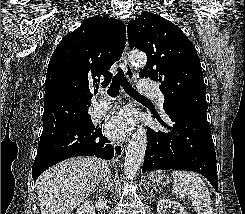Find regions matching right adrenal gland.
Segmentation results:
<instances>
[{"label": "right adrenal gland", "mask_w": 245, "mask_h": 214, "mask_svg": "<svg viewBox=\"0 0 245 214\" xmlns=\"http://www.w3.org/2000/svg\"><path fill=\"white\" fill-rule=\"evenodd\" d=\"M102 184H104L103 188L106 189H112L113 187V180H112V173L111 169L108 170V176L101 181Z\"/></svg>", "instance_id": "obj_1"}]
</instances>
